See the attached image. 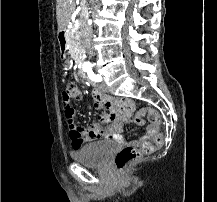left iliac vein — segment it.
Here are the masks:
<instances>
[{
	"instance_id": "1",
	"label": "left iliac vein",
	"mask_w": 217,
	"mask_h": 202,
	"mask_svg": "<svg viewBox=\"0 0 217 202\" xmlns=\"http://www.w3.org/2000/svg\"><path fill=\"white\" fill-rule=\"evenodd\" d=\"M98 89L103 92V93H106L107 92V85L105 82H101L99 85H98Z\"/></svg>"
}]
</instances>
